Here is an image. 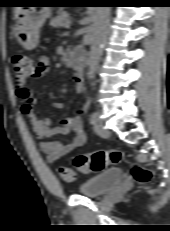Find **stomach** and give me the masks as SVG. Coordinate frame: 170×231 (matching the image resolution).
I'll return each mask as SVG.
<instances>
[{
  "instance_id": "obj_1",
  "label": "stomach",
  "mask_w": 170,
  "mask_h": 231,
  "mask_svg": "<svg viewBox=\"0 0 170 231\" xmlns=\"http://www.w3.org/2000/svg\"><path fill=\"white\" fill-rule=\"evenodd\" d=\"M41 3V1H32ZM51 15V7H28L17 18L14 35L25 49H33L38 45L40 30Z\"/></svg>"
}]
</instances>
